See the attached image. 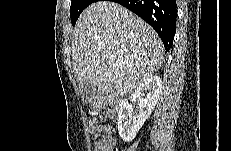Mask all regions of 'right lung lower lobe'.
Masks as SVG:
<instances>
[{"label": "right lung lower lobe", "mask_w": 231, "mask_h": 151, "mask_svg": "<svg viewBox=\"0 0 231 151\" xmlns=\"http://www.w3.org/2000/svg\"><path fill=\"white\" fill-rule=\"evenodd\" d=\"M96 2V1H95ZM150 24L163 41L166 51L173 45L176 28V0H114Z\"/></svg>", "instance_id": "98d812e1"}]
</instances>
